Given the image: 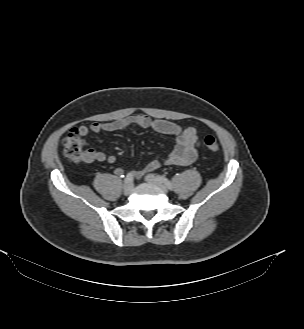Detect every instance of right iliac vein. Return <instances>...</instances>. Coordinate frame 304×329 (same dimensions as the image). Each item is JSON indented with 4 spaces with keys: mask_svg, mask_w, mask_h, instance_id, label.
Listing matches in <instances>:
<instances>
[{
    "mask_svg": "<svg viewBox=\"0 0 304 329\" xmlns=\"http://www.w3.org/2000/svg\"><path fill=\"white\" fill-rule=\"evenodd\" d=\"M133 189V184L132 183H127L124 185L123 192L125 195H129Z\"/></svg>",
    "mask_w": 304,
    "mask_h": 329,
    "instance_id": "1",
    "label": "right iliac vein"
}]
</instances>
